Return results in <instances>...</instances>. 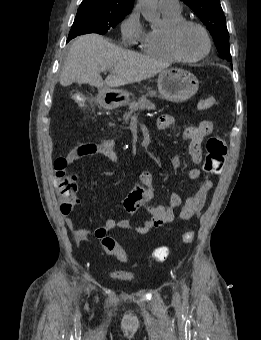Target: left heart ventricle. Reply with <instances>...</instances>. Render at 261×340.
<instances>
[{
  "mask_svg": "<svg viewBox=\"0 0 261 340\" xmlns=\"http://www.w3.org/2000/svg\"><path fill=\"white\" fill-rule=\"evenodd\" d=\"M177 45L184 56L196 57L205 51L206 40L199 28L187 25L180 31Z\"/></svg>",
  "mask_w": 261,
  "mask_h": 340,
  "instance_id": "obj_1",
  "label": "left heart ventricle"
}]
</instances>
